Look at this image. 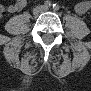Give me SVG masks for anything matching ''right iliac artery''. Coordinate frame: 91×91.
<instances>
[{
	"label": "right iliac artery",
	"mask_w": 91,
	"mask_h": 91,
	"mask_svg": "<svg viewBox=\"0 0 91 91\" xmlns=\"http://www.w3.org/2000/svg\"><path fill=\"white\" fill-rule=\"evenodd\" d=\"M43 5H44L45 7H50V6L52 5V2L49 1V0H47V1H45V2L43 3Z\"/></svg>",
	"instance_id": "1"
}]
</instances>
